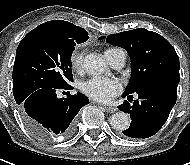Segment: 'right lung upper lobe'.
Here are the masks:
<instances>
[{
	"instance_id": "cb5924a9",
	"label": "right lung upper lobe",
	"mask_w": 190,
	"mask_h": 165,
	"mask_svg": "<svg viewBox=\"0 0 190 165\" xmlns=\"http://www.w3.org/2000/svg\"><path fill=\"white\" fill-rule=\"evenodd\" d=\"M41 25L55 26V27L61 28L63 31H65L66 33L70 35H83L86 32L83 28L78 27L64 20L48 21Z\"/></svg>"
}]
</instances>
